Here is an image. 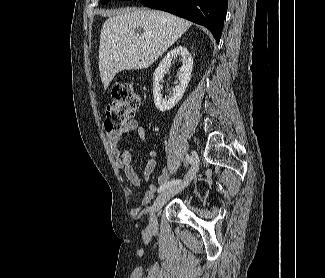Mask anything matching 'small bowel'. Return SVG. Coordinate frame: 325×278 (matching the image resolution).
<instances>
[{"label":"small bowel","mask_w":325,"mask_h":278,"mask_svg":"<svg viewBox=\"0 0 325 278\" xmlns=\"http://www.w3.org/2000/svg\"><path fill=\"white\" fill-rule=\"evenodd\" d=\"M136 131L141 142L147 143V137L144 127L139 123L137 119H131L123 127L118 130L108 132L107 138L113 146V154L115 157L117 167L123 171L128 181L134 186H140L149 182L152 173L156 166L157 152L152 150L149 152L144 169L138 174L131 163V154L128 150L121 149L117 146L118 141L126 133ZM174 174V171H170L164 168L158 176V183L160 185L167 183L170 176ZM156 193L155 186H149L144 193V197L141 200L139 210L147 207Z\"/></svg>","instance_id":"c3829d8e"}]
</instances>
